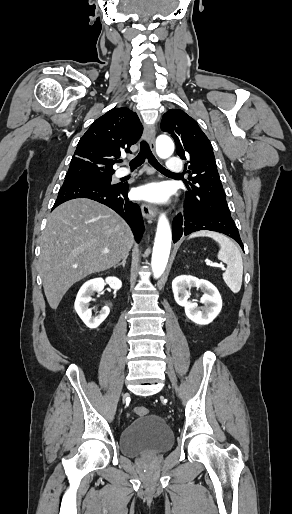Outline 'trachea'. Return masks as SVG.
Segmentation results:
<instances>
[{"instance_id":"1","label":"trachea","mask_w":292,"mask_h":514,"mask_svg":"<svg viewBox=\"0 0 292 514\" xmlns=\"http://www.w3.org/2000/svg\"><path fill=\"white\" fill-rule=\"evenodd\" d=\"M145 159H148V162L154 167V169L167 171V169H165V167H163V165H161L157 161V159L154 157V155L152 154V152L150 150L148 143L143 140L140 143V152L129 163L131 170H134L137 167H140V165H142L144 163ZM119 162H122V160H120Z\"/></svg>"}]
</instances>
